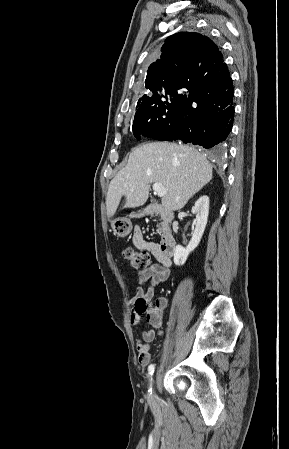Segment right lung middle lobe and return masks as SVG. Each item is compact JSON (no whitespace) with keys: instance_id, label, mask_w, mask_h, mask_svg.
<instances>
[{"instance_id":"1","label":"right lung middle lobe","mask_w":289,"mask_h":449,"mask_svg":"<svg viewBox=\"0 0 289 449\" xmlns=\"http://www.w3.org/2000/svg\"><path fill=\"white\" fill-rule=\"evenodd\" d=\"M177 90L160 91L138 102L132 126L137 139L140 135L152 138L173 122L179 104Z\"/></svg>"}]
</instances>
